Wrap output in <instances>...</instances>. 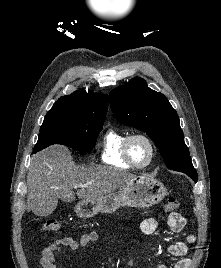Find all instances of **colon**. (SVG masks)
Wrapping results in <instances>:
<instances>
[{
    "mask_svg": "<svg viewBox=\"0 0 221 268\" xmlns=\"http://www.w3.org/2000/svg\"><path fill=\"white\" fill-rule=\"evenodd\" d=\"M178 207H179V201L177 198L175 197L168 198L167 203L165 205L166 211L172 212ZM60 228H61V223L57 219H49L42 226V230L46 232L58 231Z\"/></svg>",
    "mask_w": 221,
    "mask_h": 268,
    "instance_id": "5ec220e1",
    "label": "colon"
}]
</instances>
